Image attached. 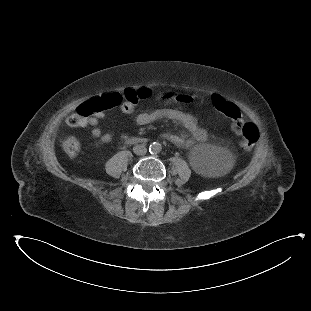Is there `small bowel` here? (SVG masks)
<instances>
[{"label":"small bowel","mask_w":311,"mask_h":311,"mask_svg":"<svg viewBox=\"0 0 311 311\" xmlns=\"http://www.w3.org/2000/svg\"><path fill=\"white\" fill-rule=\"evenodd\" d=\"M104 113L100 112L88 118L87 126L90 129V134L96 139H100L103 143H109L113 135L111 133H103L100 127V121L104 118ZM172 120L189 133L190 137L176 133H164L162 137L178 147L188 149L194 142H204L207 140V132L200 127L196 119L188 113L180 110L164 108L154 111H144L138 114L136 121L139 125H148L159 120Z\"/></svg>","instance_id":"small-bowel-1"}]
</instances>
